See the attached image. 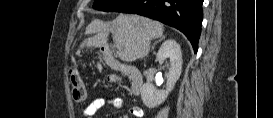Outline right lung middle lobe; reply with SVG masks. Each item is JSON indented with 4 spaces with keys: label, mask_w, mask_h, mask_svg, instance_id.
<instances>
[{
    "label": "right lung middle lobe",
    "mask_w": 273,
    "mask_h": 118,
    "mask_svg": "<svg viewBox=\"0 0 273 118\" xmlns=\"http://www.w3.org/2000/svg\"><path fill=\"white\" fill-rule=\"evenodd\" d=\"M130 1L131 0H95L93 8L100 11L114 12L118 11Z\"/></svg>",
    "instance_id": "obj_1"
}]
</instances>
